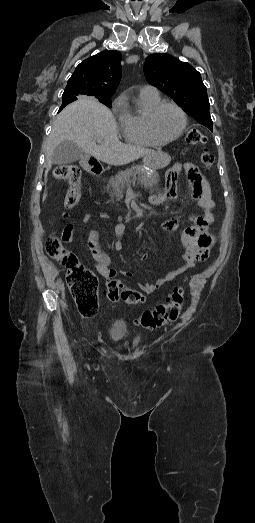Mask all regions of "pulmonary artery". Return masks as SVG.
Segmentation results:
<instances>
[{"label": "pulmonary artery", "mask_w": 255, "mask_h": 523, "mask_svg": "<svg viewBox=\"0 0 255 523\" xmlns=\"http://www.w3.org/2000/svg\"><path fill=\"white\" fill-rule=\"evenodd\" d=\"M141 91H143V92H150V93H154V94H158L159 93L158 89L155 86H152V85H145V86H143Z\"/></svg>", "instance_id": "pulmonary-artery-1"}]
</instances>
